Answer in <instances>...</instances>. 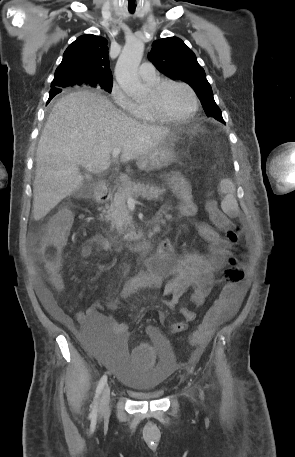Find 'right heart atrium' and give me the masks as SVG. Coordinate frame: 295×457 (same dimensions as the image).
I'll use <instances>...</instances> for the list:
<instances>
[{"instance_id": "obj_1", "label": "right heart atrium", "mask_w": 295, "mask_h": 457, "mask_svg": "<svg viewBox=\"0 0 295 457\" xmlns=\"http://www.w3.org/2000/svg\"><path fill=\"white\" fill-rule=\"evenodd\" d=\"M110 95L114 103L123 111L130 115H135L137 104L131 100L123 89L117 84L112 85Z\"/></svg>"}]
</instances>
